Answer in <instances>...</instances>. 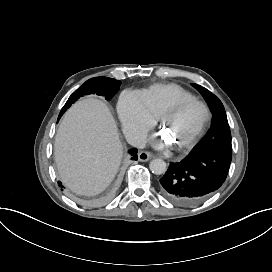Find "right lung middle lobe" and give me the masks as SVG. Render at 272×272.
Here are the masks:
<instances>
[{
    "label": "right lung middle lobe",
    "instance_id": "right-lung-middle-lobe-1",
    "mask_svg": "<svg viewBox=\"0 0 272 272\" xmlns=\"http://www.w3.org/2000/svg\"><path fill=\"white\" fill-rule=\"evenodd\" d=\"M120 84L121 81L108 77H95L87 80L69 97L58 118L64 114L72 103L76 102L83 95L97 94L104 96L106 100H110L119 90Z\"/></svg>",
    "mask_w": 272,
    "mask_h": 272
}]
</instances>
